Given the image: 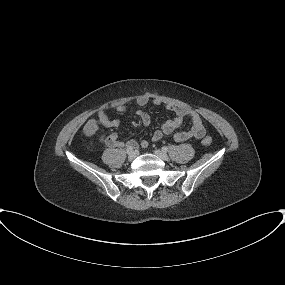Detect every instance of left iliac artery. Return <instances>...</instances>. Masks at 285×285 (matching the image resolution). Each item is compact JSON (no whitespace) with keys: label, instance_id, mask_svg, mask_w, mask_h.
Returning <instances> with one entry per match:
<instances>
[{"label":"left iliac artery","instance_id":"obj_1","mask_svg":"<svg viewBox=\"0 0 285 285\" xmlns=\"http://www.w3.org/2000/svg\"><path fill=\"white\" fill-rule=\"evenodd\" d=\"M162 151L167 152L168 148L166 146L162 147Z\"/></svg>","mask_w":285,"mask_h":285}]
</instances>
